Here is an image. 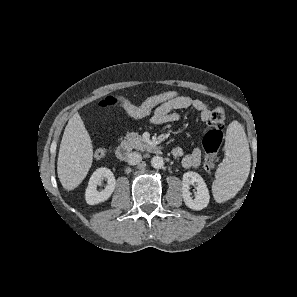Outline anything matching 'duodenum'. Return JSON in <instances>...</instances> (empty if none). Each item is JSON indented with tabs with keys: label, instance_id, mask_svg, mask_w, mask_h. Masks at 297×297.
Instances as JSON below:
<instances>
[{
	"label": "duodenum",
	"instance_id": "410a0bca",
	"mask_svg": "<svg viewBox=\"0 0 297 297\" xmlns=\"http://www.w3.org/2000/svg\"><path fill=\"white\" fill-rule=\"evenodd\" d=\"M148 150L154 154H160L162 152L161 148L157 145H149ZM130 151L131 149L128 144H121L115 149V157L121 162L125 161L128 158Z\"/></svg>",
	"mask_w": 297,
	"mask_h": 297
}]
</instances>
